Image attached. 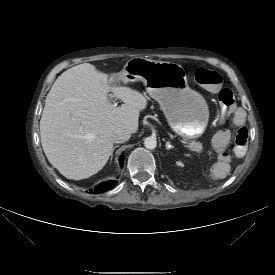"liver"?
<instances>
[{
	"label": "liver",
	"instance_id": "obj_1",
	"mask_svg": "<svg viewBox=\"0 0 275 275\" xmlns=\"http://www.w3.org/2000/svg\"><path fill=\"white\" fill-rule=\"evenodd\" d=\"M112 87L114 96L124 102L119 107L107 96L111 88L107 75L83 63L63 72L47 94L40 120L41 144L49 162L68 179L89 178L105 166L115 130H138L147 98L116 82Z\"/></svg>",
	"mask_w": 275,
	"mask_h": 275
}]
</instances>
